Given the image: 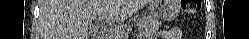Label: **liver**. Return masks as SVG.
<instances>
[{"mask_svg": "<svg viewBox=\"0 0 249 39\" xmlns=\"http://www.w3.org/2000/svg\"><path fill=\"white\" fill-rule=\"evenodd\" d=\"M151 0H42L41 39H90V24L97 17L122 23Z\"/></svg>", "mask_w": 249, "mask_h": 39, "instance_id": "6515ba94", "label": "liver"}]
</instances>
